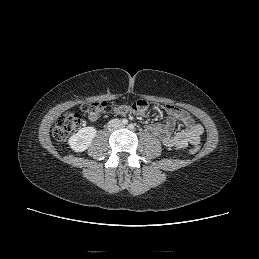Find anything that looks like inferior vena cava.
Listing matches in <instances>:
<instances>
[{
  "label": "inferior vena cava",
  "instance_id": "obj_1",
  "mask_svg": "<svg viewBox=\"0 0 259 259\" xmlns=\"http://www.w3.org/2000/svg\"><path fill=\"white\" fill-rule=\"evenodd\" d=\"M121 127H122V123H121V121L118 120V119H113V120H111V121L109 122V124H108V128H109L110 130H115V129L121 128Z\"/></svg>",
  "mask_w": 259,
  "mask_h": 259
}]
</instances>
